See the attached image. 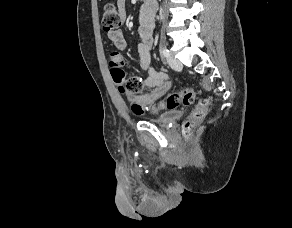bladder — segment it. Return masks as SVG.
Here are the masks:
<instances>
[{
  "label": "bladder",
  "mask_w": 292,
  "mask_h": 228,
  "mask_svg": "<svg viewBox=\"0 0 292 228\" xmlns=\"http://www.w3.org/2000/svg\"><path fill=\"white\" fill-rule=\"evenodd\" d=\"M181 115L182 111L180 110H170L157 117L146 118V120L161 126H168L171 122L178 119Z\"/></svg>",
  "instance_id": "obj_1"
}]
</instances>
